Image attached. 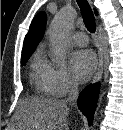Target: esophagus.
<instances>
[{"label": "esophagus", "instance_id": "1", "mask_svg": "<svg viewBox=\"0 0 123 130\" xmlns=\"http://www.w3.org/2000/svg\"><path fill=\"white\" fill-rule=\"evenodd\" d=\"M99 39H100V35H99ZM103 65H104L103 46L100 40L99 50H98V66H97V71L92 80V83H96L101 79L103 74Z\"/></svg>", "mask_w": 123, "mask_h": 130}]
</instances>
